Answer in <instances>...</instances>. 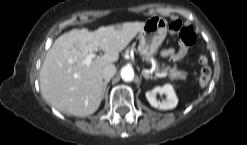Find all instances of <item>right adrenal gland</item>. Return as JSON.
<instances>
[{"mask_svg": "<svg viewBox=\"0 0 247 145\" xmlns=\"http://www.w3.org/2000/svg\"><path fill=\"white\" fill-rule=\"evenodd\" d=\"M110 82V80H105L103 82V93H102V98L104 97V94H105V91H106V88H107V84Z\"/></svg>", "mask_w": 247, "mask_h": 145, "instance_id": "2a0ac1e0", "label": "right adrenal gland"}]
</instances>
